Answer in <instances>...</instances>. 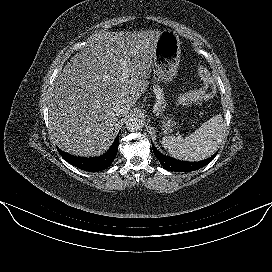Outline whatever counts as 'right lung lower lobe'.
I'll return each instance as SVG.
<instances>
[{
  "label": "right lung lower lobe",
  "mask_w": 272,
  "mask_h": 272,
  "mask_svg": "<svg viewBox=\"0 0 272 272\" xmlns=\"http://www.w3.org/2000/svg\"><path fill=\"white\" fill-rule=\"evenodd\" d=\"M119 144V136L115 139L111 148L102 156L97 158H82L63 152L57 148L60 155L71 165L89 172H97L108 168L116 157Z\"/></svg>",
  "instance_id": "98d812e1"
}]
</instances>
